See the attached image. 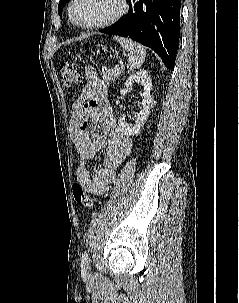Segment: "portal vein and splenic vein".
Masks as SVG:
<instances>
[{
	"label": "portal vein and splenic vein",
	"mask_w": 239,
	"mask_h": 303,
	"mask_svg": "<svg viewBox=\"0 0 239 303\" xmlns=\"http://www.w3.org/2000/svg\"><path fill=\"white\" fill-rule=\"evenodd\" d=\"M119 69H120V67H118V66L115 67V70H116V71H119Z\"/></svg>",
	"instance_id": "obj_1"
}]
</instances>
